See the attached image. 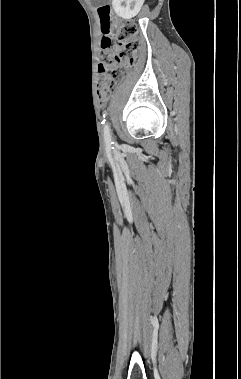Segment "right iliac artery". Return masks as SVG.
I'll return each instance as SVG.
<instances>
[{"mask_svg": "<svg viewBox=\"0 0 241 379\" xmlns=\"http://www.w3.org/2000/svg\"><path fill=\"white\" fill-rule=\"evenodd\" d=\"M104 139H105L106 147L108 149L112 148L113 141H112V137L110 133V127L108 124H106L104 127Z\"/></svg>", "mask_w": 241, "mask_h": 379, "instance_id": "right-iliac-artery-1", "label": "right iliac artery"}]
</instances>
